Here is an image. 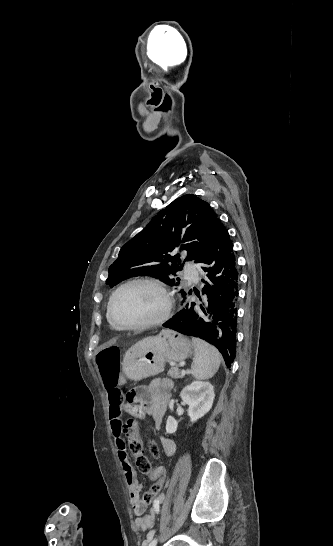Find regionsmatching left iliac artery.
I'll use <instances>...</instances> for the list:
<instances>
[{"label": "left iliac artery", "instance_id": "1", "mask_svg": "<svg viewBox=\"0 0 333 546\" xmlns=\"http://www.w3.org/2000/svg\"><path fill=\"white\" fill-rule=\"evenodd\" d=\"M156 543H157V539H153L148 546H156Z\"/></svg>", "mask_w": 333, "mask_h": 546}]
</instances>
